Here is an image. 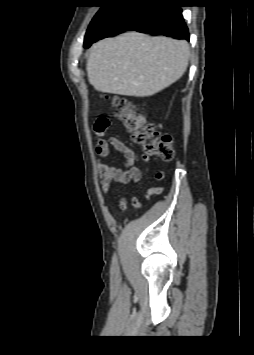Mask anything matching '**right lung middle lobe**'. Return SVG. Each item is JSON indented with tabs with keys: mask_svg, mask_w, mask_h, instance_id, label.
<instances>
[{
	"mask_svg": "<svg viewBox=\"0 0 254 355\" xmlns=\"http://www.w3.org/2000/svg\"><path fill=\"white\" fill-rule=\"evenodd\" d=\"M119 4H110L107 3L102 6V8L98 11V13L94 16L92 19L86 35H85V41L84 42H91L99 33L103 25L106 23V21L109 19V17L112 15L113 11L117 8Z\"/></svg>",
	"mask_w": 254,
	"mask_h": 355,
	"instance_id": "dd1d6c3e",
	"label": "right lung middle lobe"
}]
</instances>
